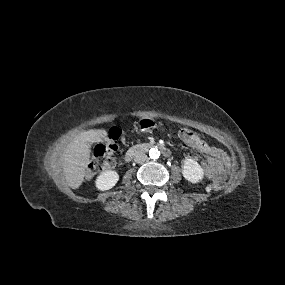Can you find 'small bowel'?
Wrapping results in <instances>:
<instances>
[{
	"label": "small bowel",
	"mask_w": 285,
	"mask_h": 285,
	"mask_svg": "<svg viewBox=\"0 0 285 285\" xmlns=\"http://www.w3.org/2000/svg\"><path fill=\"white\" fill-rule=\"evenodd\" d=\"M195 148L207 156V163L204 165L206 176L209 178H226L230 165L223 152L215 146L199 138Z\"/></svg>",
	"instance_id": "small-bowel-1"
}]
</instances>
